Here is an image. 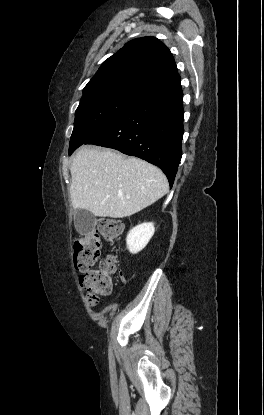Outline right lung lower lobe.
I'll return each instance as SVG.
<instances>
[{
    "instance_id": "obj_1",
    "label": "right lung lower lobe",
    "mask_w": 264,
    "mask_h": 415,
    "mask_svg": "<svg viewBox=\"0 0 264 415\" xmlns=\"http://www.w3.org/2000/svg\"><path fill=\"white\" fill-rule=\"evenodd\" d=\"M183 117V93L178 84L142 99L85 144L144 159L160 167L172 186L182 157Z\"/></svg>"
}]
</instances>
